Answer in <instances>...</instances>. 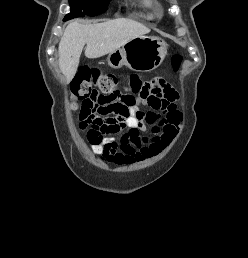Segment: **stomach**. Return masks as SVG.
<instances>
[{"label":"stomach","mask_w":248,"mask_h":258,"mask_svg":"<svg viewBox=\"0 0 248 258\" xmlns=\"http://www.w3.org/2000/svg\"><path fill=\"white\" fill-rule=\"evenodd\" d=\"M167 44L159 37L141 36L110 53L107 58L112 68L126 66L136 72H150L161 65Z\"/></svg>","instance_id":"obj_1"}]
</instances>
